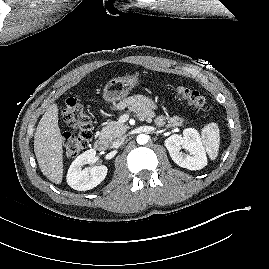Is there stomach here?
Masks as SVG:
<instances>
[{"mask_svg":"<svg viewBox=\"0 0 269 269\" xmlns=\"http://www.w3.org/2000/svg\"><path fill=\"white\" fill-rule=\"evenodd\" d=\"M140 83L141 79L137 74L112 78L103 90V98L107 103L116 104L127 97Z\"/></svg>","mask_w":269,"mask_h":269,"instance_id":"1","label":"stomach"}]
</instances>
